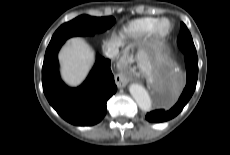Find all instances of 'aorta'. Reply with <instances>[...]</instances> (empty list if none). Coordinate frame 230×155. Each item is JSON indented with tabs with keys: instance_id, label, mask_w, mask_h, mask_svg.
<instances>
[{
	"instance_id": "1",
	"label": "aorta",
	"mask_w": 230,
	"mask_h": 155,
	"mask_svg": "<svg viewBox=\"0 0 230 155\" xmlns=\"http://www.w3.org/2000/svg\"><path fill=\"white\" fill-rule=\"evenodd\" d=\"M129 91L142 111L148 112L151 110L152 102L150 96L142 85L133 83L129 86Z\"/></svg>"
}]
</instances>
